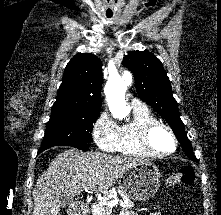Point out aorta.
Here are the masks:
<instances>
[{"label": "aorta", "mask_w": 221, "mask_h": 215, "mask_svg": "<svg viewBox=\"0 0 221 215\" xmlns=\"http://www.w3.org/2000/svg\"><path fill=\"white\" fill-rule=\"evenodd\" d=\"M131 84V80L125 82L118 74L110 75L104 93L109 110L114 118L125 119L130 113V108L125 101L127 85Z\"/></svg>", "instance_id": "obj_1"}]
</instances>
